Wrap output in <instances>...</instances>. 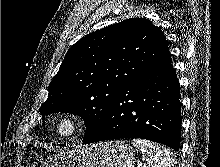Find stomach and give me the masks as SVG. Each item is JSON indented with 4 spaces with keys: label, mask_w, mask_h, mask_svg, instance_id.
<instances>
[{
    "label": "stomach",
    "mask_w": 220,
    "mask_h": 167,
    "mask_svg": "<svg viewBox=\"0 0 220 167\" xmlns=\"http://www.w3.org/2000/svg\"><path fill=\"white\" fill-rule=\"evenodd\" d=\"M133 149L124 141H110L61 152L40 167H134Z\"/></svg>",
    "instance_id": "obj_1"
}]
</instances>
